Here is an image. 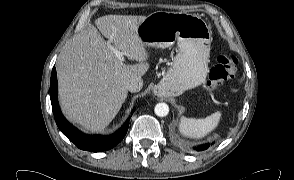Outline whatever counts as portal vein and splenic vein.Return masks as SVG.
<instances>
[{
  "instance_id": "obj_1",
  "label": "portal vein and splenic vein",
  "mask_w": 294,
  "mask_h": 180,
  "mask_svg": "<svg viewBox=\"0 0 294 180\" xmlns=\"http://www.w3.org/2000/svg\"><path fill=\"white\" fill-rule=\"evenodd\" d=\"M107 46L120 61H124V54L122 52L114 48L109 41H107Z\"/></svg>"
}]
</instances>
